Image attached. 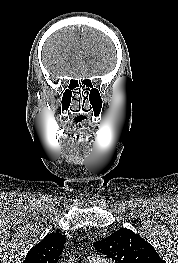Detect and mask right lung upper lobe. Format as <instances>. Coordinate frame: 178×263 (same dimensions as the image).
Segmentation results:
<instances>
[{
    "label": "right lung upper lobe",
    "instance_id": "cb5924a9",
    "mask_svg": "<svg viewBox=\"0 0 178 263\" xmlns=\"http://www.w3.org/2000/svg\"><path fill=\"white\" fill-rule=\"evenodd\" d=\"M66 243L59 233L48 234L27 253L23 263H57Z\"/></svg>",
    "mask_w": 178,
    "mask_h": 263
}]
</instances>
